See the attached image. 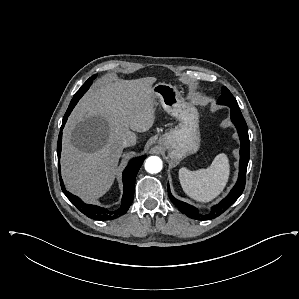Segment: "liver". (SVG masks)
Instances as JSON below:
<instances>
[{"instance_id": "6515ba94", "label": "liver", "mask_w": 299, "mask_h": 299, "mask_svg": "<svg viewBox=\"0 0 299 299\" xmlns=\"http://www.w3.org/2000/svg\"><path fill=\"white\" fill-rule=\"evenodd\" d=\"M155 77L95 84L73 110L63 133L62 177L67 189L92 202L112 186L122 140L146 132L155 122ZM86 122L82 128L75 127Z\"/></svg>"}]
</instances>
